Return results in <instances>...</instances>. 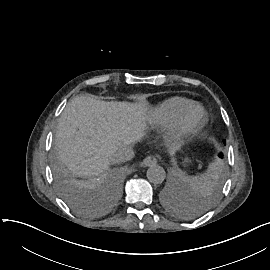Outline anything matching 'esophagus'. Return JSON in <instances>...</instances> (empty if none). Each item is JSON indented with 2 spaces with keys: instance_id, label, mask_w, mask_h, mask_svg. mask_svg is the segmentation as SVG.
Masks as SVG:
<instances>
[{
  "instance_id": "obj_1",
  "label": "esophagus",
  "mask_w": 270,
  "mask_h": 270,
  "mask_svg": "<svg viewBox=\"0 0 270 270\" xmlns=\"http://www.w3.org/2000/svg\"><path fill=\"white\" fill-rule=\"evenodd\" d=\"M158 162L157 158L155 156H148L143 160L142 165L145 167H150L156 165Z\"/></svg>"
}]
</instances>
